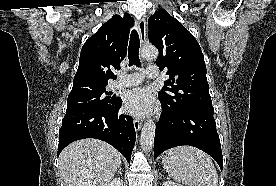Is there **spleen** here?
Masks as SVG:
<instances>
[{"mask_svg":"<svg viewBox=\"0 0 276 186\" xmlns=\"http://www.w3.org/2000/svg\"><path fill=\"white\" fill-rule=\"evenodd\" d=\"M164 169L175 181L189 186H218L212 159L191 146L170 149L162 160Z\"/></svg>","mask_w":276,"mask_h":186,"instance_id":"obj_1","label":"spleen"}]
</instances>
